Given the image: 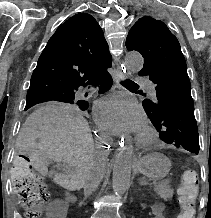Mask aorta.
<instances>
[{
  "label": "aorta",
  "mask_w": 211,
  "mask_h": 218,
  "mask_svg": "<svg viewBox=\"0 0 211 218\" xmlns=\"http://www.w3.org/2000/svg\"><path fill=\"white\" fill-rule=\"evenodd\" d=\"M125 64L129 70L139 72L143 68L144 60L139 53L129 52L125 56ZM133 157L134 147L128 144L115 159L112 182L116 194L123 195L130 186Z\"/></svg>",
  "instance_id": "1"
}]
</instances>
